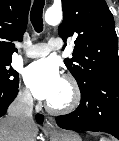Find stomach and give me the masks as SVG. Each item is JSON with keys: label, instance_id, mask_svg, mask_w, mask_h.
I'll use <instances>...</instances> for the list:
<instances>
[{"label": "stomach", "instance_id": "stomach-1", "mask_svg": "<svg viewBox=\"0 0 119 141\" xmlns=\"http://www.w3.org/2000/svg\"><path fill=\"white\" fill-rule=\"evenodd\" d=\"M51 141H82V139L77 133L69 131L51 135Z\"/></svg>", "mask_w": 119, "mask_h": 141}]
</instances>
